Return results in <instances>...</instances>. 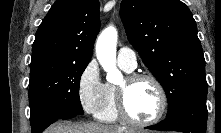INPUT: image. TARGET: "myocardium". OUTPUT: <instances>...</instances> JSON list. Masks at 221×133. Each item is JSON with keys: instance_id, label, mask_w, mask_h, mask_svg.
I'll return each instance as SVG.
<instances>
[{"instance_id": "1", "label": "myocardium", "mask_w": 221, "mask_h": 133, "mask_svg": "<svg viewBox=\"0 0 221 133\" xmlns=\"http://www.w3.org/2000/svg\"><path fill=\"white\" fill-rule=\"evenodd\" d=\"M142 80H148L152 82L155 85L159 94V98H160V106H159L158 112L153 118L146 120V121L137 120L134 117H132L127 107L128 89L133 84ZM116 100H117V111H118L119 117L123 121L131 125L138 126V127H147V126H151V125L158 123L164 116L168 107L167 94H166L163 84L155 76L151 74H146V73H134V74L128 75L124 79L123 84L117 87Z\"/></svg>"}]
</instances>
